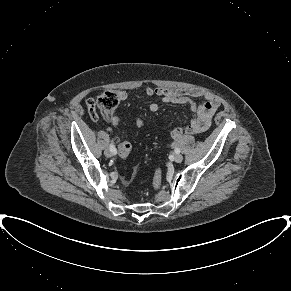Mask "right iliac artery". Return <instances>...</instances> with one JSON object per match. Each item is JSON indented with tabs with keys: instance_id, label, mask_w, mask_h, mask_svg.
Segmentation results:
<instances>
[{
	"instance_id": "obj_1",
	"label": "right iliac artery",
	"mask_w": 291,
	"mask_h": 291,
	"mask_svg": "<svg viewBox=\"0 0 291 291\" xmlns=\"http://www.w3.org/2000/svg\"><path fill=\"white\" fill-rule=\"evenodd\" d=\"M110 150L113 152V154L117 153V150L113 144H110Z\"/></svg>"
}]
</instances>
